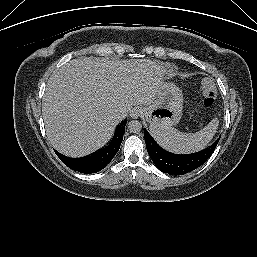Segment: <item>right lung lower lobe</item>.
<instances>
[{
  "label": "right lung lower lobe",
  "mask_w": 257,
  "mask_h": 257,
  "mask_svg": "<svg viewBox=\"0 0 257 257\" xmlns=\"http://www.w3.org/2000/svg\"><path fill=\"white\" fill-rule=\"evenodd\" d=\"M126 120L116 128L111 142L103 149L84 158H70L55 151L60 160L69 168L80 173H96L106 167L118 152L125 133Z\"/></svg>",
  "instance_id": "right-lung-lower-lobe-1"
}]
</instances>
